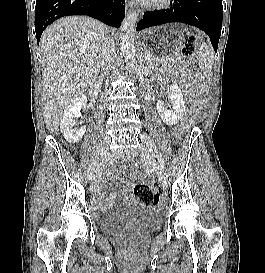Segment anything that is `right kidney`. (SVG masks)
Wrapping results in <instances>:
<instances>
[{"label":"right kidney","mask_w":265,"mask_h":273,"mask_svg":"<svg viewBox=\"0 0 265 273\" xmlns=\"http://www.w3.org/2000/svg\"><path fill=\"white\" fill-rule=\"evenodd\" d=\"M86 104L87 96L82 94L71 102L61 117L60 130L66 141L70 144L79 142L85 134V126L75 128V119Z\"/></svg>","instance_id":"obj_1"}]
</instances>
